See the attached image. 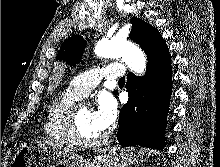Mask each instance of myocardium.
<instances>
[{"label":"myocardium","instance_id":"myocardium-1","mask_svg":"<svg viewBox=\"0 0 220 167\" xmlns=\"http://www.w3.org/2000/svg\"><path fill=\"white\" fill-rule=\"evenodd\" d=\"M82 105L85 104L80 102L73 104L67 113L66 130L71 142L74 145L85 148L97 147L106 143L109 137V134L107 132H105L101 137L95 140H85L81 137L78 130L77 111L78 108Z\"/></svg>","mask_w":220,"mask_h":167}]
</instances>
